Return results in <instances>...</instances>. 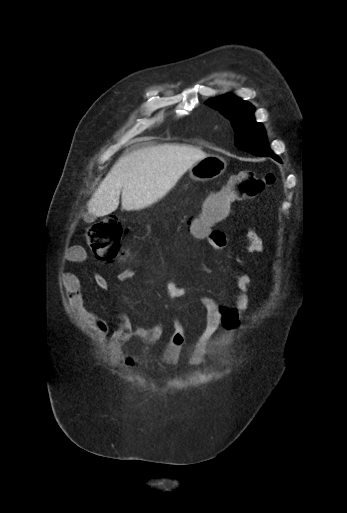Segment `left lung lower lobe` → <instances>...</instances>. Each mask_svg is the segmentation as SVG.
I'll return each instance as SVG.
<instances>
[{
    "mask_svg": "<svg viewBox=\"0 0 347 513\" xmlns=\"http://www.w3.org/2000/svg\"><path fill=\"white\" fill-rule=\"evenodd\" d=\"M269 156L272 157L273 159H275L276 161L281 162V160L276 155L271 154Z\"/></svg>",
    "mask_w": 347,
    "mask_h": 513,
    "instance_id": "left-lung-lower-lobe-1",
    "label": "left lung lower lobe"
}]
</instances>
